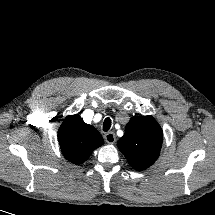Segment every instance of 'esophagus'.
I'll list each match as a JSON object with an SVG mask.
<instances>
[{
  "label": "esophagus",
  "instance_id": "34e87169",
  "mask_svg": "<svg viewBox=\"0 0 215 215\" xmlns=\"http://www.w3.org/2000/svg\"><path fill=\"white\" fill-rule=\"evenodd\" d=\"M104 139L108 144H113L116 141L115 134L113 132H108L104 135Z\"/></svg>",
  "mask_w": 215,
  "mask_h": 215
}]
</instances>
